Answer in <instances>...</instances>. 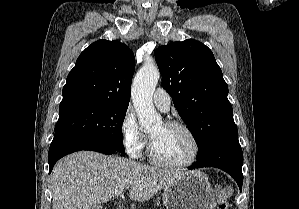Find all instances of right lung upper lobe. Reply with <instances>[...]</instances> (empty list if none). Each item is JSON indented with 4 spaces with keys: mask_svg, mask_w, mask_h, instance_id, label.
Returning a JSON list of instances; mask_svg holds the SVG:
<instances>
[{
    "mask_svg": "<svg viewBox=\"0 0 299 209\" xmlns=\"http://www.w3.org/2000/svg\"><path fill=\"white\" fill-rule=\"evenodd\" d=\"M134 70V55L125 44L96 41L80 54L69 72L60 104L129 105Z\"/></svg>",
    "mask_w": 299,
    "mask_h": 209,
    "instance_id": "right-lung-upper-lobe-1",
    "label": "right lung upper lobe"
}]
</instances>
